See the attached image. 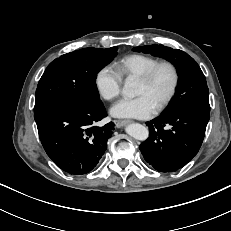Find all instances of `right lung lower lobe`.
I'll list each match as a JSON object with an SVG mask.
<instances>
[{
  "instance_id": "98d812e1",
  "label": "right lung lower lobe",
  "mask_w": 231,
  "mask_h": 231,
  "mask_svg": "<svg viewBox=\"0 0 231 231\" xmlns=\"http://www.w3.org/2000/svg\"><path fill=\"white\" fill-rule=\"evenodd\" d=\"M104 117L102 103L55 105L34 114L47 155L59 168L73 175L90 172L105 152L115 124L96 126Z\"/></svg>"
}]
</instances>
